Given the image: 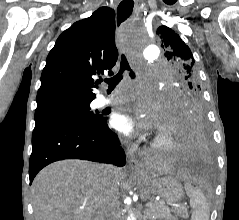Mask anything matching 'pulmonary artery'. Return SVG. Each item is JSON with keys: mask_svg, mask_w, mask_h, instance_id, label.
<instances>
[{"mask_svg": "<svg viewBox=\"0 0 239 220\" xmlns=\"http://www.w3.org/2000/svg\"><path fill=\"white\" fill-rule=\"evenodd\" d=\"M112 101H113V97L112 96H103L99 100L100 104H102V105L109 104Z\"/></svg>", "mask_w": 239, "mask_h": 220, "instance_id": "1", "label": "pulmonary artery"}]
</instances>
